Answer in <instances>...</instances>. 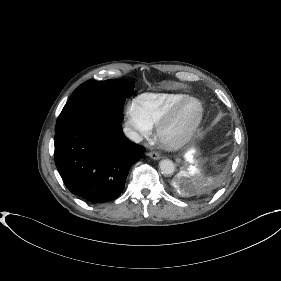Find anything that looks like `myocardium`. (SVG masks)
Returning a JSON list of instances; mask_svg holds the SVG:
<instances>
[{
	"label": "myocardium",
	"mask_w": 281,
	"mask_h": 281,
	"mask_svg": "<svg viewBox=\"0 0 281 281\" xmlns=\"http://www.w3.org/2000/svg\"><path fill=\"white\" fill-rule=\"evenodd\" d=\"M189 104L197 108L196 116L191 124L178 133H171V129L182 111ZM204 115V106L200 99L187 96L176 104L157 126V137L160 144L168 150H177L187 144L196 133Z\"/></svg>",
	"instance_id": "obj_1"
}]
</instances>
